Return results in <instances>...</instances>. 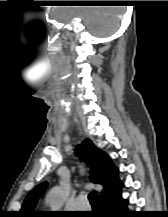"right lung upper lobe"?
<instances>
[{
	"mask_svg": "<svg viewBox=\"0 0 168 217\" xmlns=\"http://www.w3.org/2000/svg\"><path fill=\"white\" fill-rule=\"evenodd\" d=\"M75 152L89 164L91 168V181L103 185L104 188L99 196L100 202L121 190L123 184L118 177V169L112 164L109 156L98 149L91 140H84L75 149ZM47 186L48 183L43 182L30 191L19 212L20 217L41 216L40 212L34 211V207L39 196L45 191Z\"/></svg>",
	"mask_w": 168,
	"mask_h": 217,
	"instance_id": "right-lung-upper-lobe-1",
	"label": "right lung upper lobe"
}]
</instances>
